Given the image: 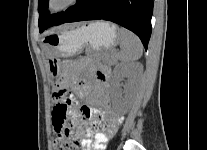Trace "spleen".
Listing matches in <instances>:
<instances>
[{"instance_id":"spleen-1","label":"spleen","mask_w":207,"mask_h":150,"mask_svg":"<svg viewBox=\"0 0 207 150\" xmlns=\"http://www.w3.org/2000/svg\"><path fill=\"white\" fill-rule=\"evenodd\" d=\"M120 51L118 59L123 63H133L137 61L143 53V46L140 39L124 28L119 30Z\"/></svg>"}]
</instances>
